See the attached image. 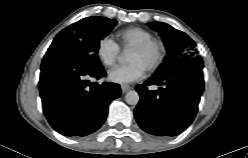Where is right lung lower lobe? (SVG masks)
I'll return each mask as SVG.
<instances>
[{"mask_svg": "<svg viewBox=\"0 0 248 158\" xmlns=\"http://www.w3.org/2000/svg\"><path fill=\"white\" fill-rule=\"evenodd\" d=\"M106 76L99 59L45 55L39 90L50 125L65 136H85L104 123L112 100L120 96L116 83L90 82Z\"/></svg>", "mask_w": 248, "mask_h": 158, "instance_id": "1", "label": "right lung lower lobe"}]
</instances>
